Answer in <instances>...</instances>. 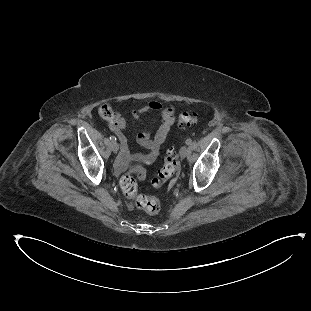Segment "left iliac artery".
I'll list each match as a JSON object with an SVG mask.
<instances>
[{"label": "left iliac artery", "instance_id": "obj_1", "mask_svg": "<svg viewBox=\"0 0 311 311\" xmlns=\"http://www.w3.org/2000/svg\"><path fill=\"white\" fill-rule=\"evenodd\" d=\"M185 143H186L187 145H190V144L192 143V140L189 138V139H187V140L185 141Z\"/></svg>", "mask_w": 311, "mask_h": 311}]
</instances>
